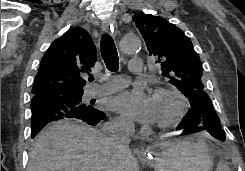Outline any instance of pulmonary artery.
Segmentation results:
<instances>
[{"label": "pulmonary artery", "instance_id": "1", "mask_svg": "<svg viewBox=\"0 0 245 171\" xmlns=\"http://www.w3.org/2000/svg\"><path fill=\"white\" fill-rule=\"evenodd\" d=\"M129 70L133 73L142 71V60L139 57H134L129 65ZM128 80L124 76H114L106 84L101 86H92L88 89V97H96L111 94L125 88Z\"/></svg>", "mask_w": 245, "mask_h": 171}]
</instances>
